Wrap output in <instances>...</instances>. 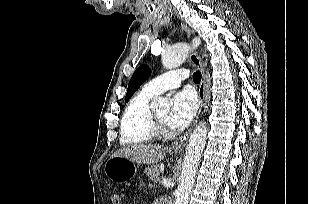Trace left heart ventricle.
I'll use <instances>...</instances> for the list:
<instances>
[{"label":"left heart ventricle","instance_id":"obj_1","mask_svg":"<svg viewBox=\"0 0 309 204\" xmlns=\"http://www.w3.org/2000/svg\"><path fill=\"white\" fill-rule=\"evenodd\" d=\"M157 117L164 123H168V116H169V110L168 109H163L160 111L155 112Z\"/></svg>","mask_w":309,"mask_h":204}]
</instances>
